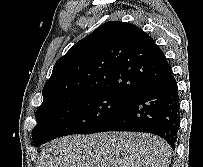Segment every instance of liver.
Listing matches in <instances>:
<instances>
[{"mask_svg":"<svg viewBox=\"0 0 203 167\" xmlns=\"http://www.w3.org/2000/svg\"><path fill=\"white\" fill-rule=\"evenodd\" d=\"M170 146L137 132L71 135L49 142L37 167H169Z\"/></svg>","mask_w":203,"mask_h":167,"instance_id":"1","label":"liver"}]
</instances>
